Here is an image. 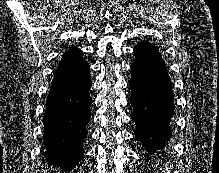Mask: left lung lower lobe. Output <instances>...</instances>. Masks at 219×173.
Segmentation results:
<instances>
[{
  "mask_svg": "<svg viewBox=\"0 0 219 173\" xmlns=\"http://www.w3.org/2000/svg\"><path fill=\"white\" fill-rule=\"evenodd\" d=\"M136 58L131 65L129 82L135 135L145 151L160 153L171 135L170 120L174 113V94L165 62L158 48L141 41L134 48Z\"/></svg>",
  "mask_w": 219,
  "mask_h": 173,
  "instance_id": "left-lung-lower-lobe-1",
  "label": "left lung lower lobe"
}]
</instances>
